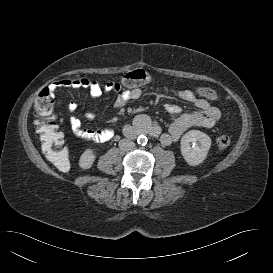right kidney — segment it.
<instances>
[{"label": "right kidney", "instance_id": "obj_1", "mask_svg": "<svg viewBox=\"0 0 273 273\" xmlns=\"http://www.w3.org/2000/svg\"><path fill=\"white\" fill-rule=\"evenodd\" d=\"M95 154L92 149H86L84 153L80 157L79 164L81 168L88 169L92 166L93 162L95 161Z\"/></svg>", "mask_w": 273, "mask_h": 273}]
</instances>
